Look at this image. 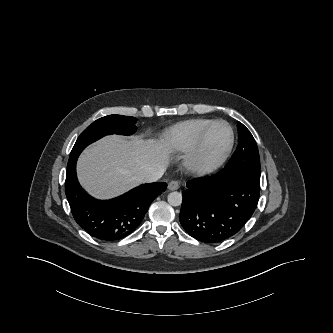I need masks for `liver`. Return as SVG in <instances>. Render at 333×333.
<instances>
[{"label":"liver","instance_id":"liver-1","mask_svg":"<svg viewBox=\"0 0 333 333\" xmlns=\"http://www.w3.org/2000/svg\"><path fill=\"white\" fill-rule=\"evenodd\" d=\"M172 151L169 143L107 136L89 146L77 162L81 185L94 197L108 199L135 187L152 169L166 170Z\"/></svg>","mask_w":333,"mask_h":333}]
</instances>
